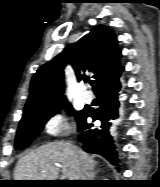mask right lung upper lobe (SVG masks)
<instances>
[{"label": "right lung upper lobe", "instance_id": "obj_1", "mask_svg": "<svg viewBox=\"0 0 160 187\" xmlns=\"http://www.w3.org/2000/svg\"><path fill=\"white\" fill-rule=\"evenodd\" d=\"M121 50L112 30L97 25L79 41L67 46L51 62L42 65L30 84V95L24 113L36 112L65 102L64 68L71 64L78 81L89 80L92 75L93 91L122 68L119 65Z\"/></svg>", "mask_w": 160, "mask_h": 187}]
</instances>
